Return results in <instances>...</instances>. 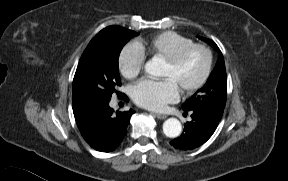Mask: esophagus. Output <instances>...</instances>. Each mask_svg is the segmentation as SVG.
I'll return each mask as SVG.
<instances>
[{"mask_svg":"<svg viewBox=\"0 0 288 181\" xmlns=\"http://www.w3.org/2000/svg\"><path fill=\"white\" fill-rule=\"evenodd\" d=\"M153 115H155L158 119H165V118H167V115H164V114L153 113Z\"/></svg>","mask_w":288,"mask_h":181,"instance_id":"esophagus-1","label":"esophagus"}]
</instances>
